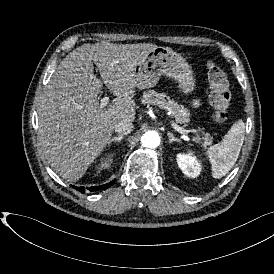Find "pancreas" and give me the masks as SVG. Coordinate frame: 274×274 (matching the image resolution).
<instances>
[{
	"mask_svg": "<svg viewBox=\"0 0 274 274\" xmlns=\"http://www.w3.org/2000/svg\"><path fill=\"white\" fill-rule=\"evenodd\" d=\"M142 103L152 106H158L160 109L171 112V116L175 118L176 123L185 124L190 122V113L183 105H179L165 93H158L155 90H148L143 93ZM203 128H199L193 141L202 144L203 147L212 144L213 137L209 133H205ZM201 134V135H200Z\"/></svg>",
	"mask_w": 274,
	"mask_h": 274,
	"instance_id": "pancreas-1",
	"label": "pancreas"
}]
</instances>
